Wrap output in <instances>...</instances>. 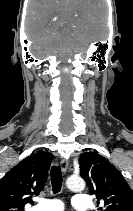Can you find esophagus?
<instances>
[{"label":"esophagus","mask_w":133,"mask_h":211,"mask_svg":"<svg viewBox=\"0 0 133 211\" xmlns=\"http://www.w3.org/2000/svg\"><path fill=\"white\" fill-rule=\"evenodd\" d=\"M61 168L64 173L67 172L68 169V161L66 159L61 160Z\"/></svg>","instance_id":"esophagus-1"}]
</instances>
